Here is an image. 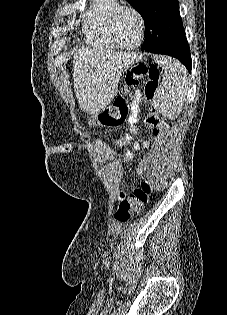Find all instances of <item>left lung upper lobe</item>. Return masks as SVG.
I'll use <instances>...</instances> for the list:
<instances>
[{"label": "left lung upper lobe", "mask_w": 227, "mask_h": 315, "mask_svg": "<svg viewBox=\"0 0 227 315\" xmlns=\"http://www.w3.org/2000/svg\"><path fill=\"white\" fill-rule=\"evenodd\" d=\"M145 21L143 45L158 47L185 35L178 0H127Z\"/></svg>", "instance_id": "left-lung-upper-lobe-1"}]
</instances>
